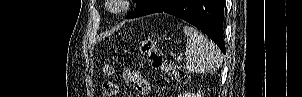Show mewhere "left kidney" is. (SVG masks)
<instances>
[{
	"instance_id": "left-kidney-1",
	"label": "left kidney",
	"mask_w": 302,
	"mask_h": 97,
	"mask_svg": "<svg viewBox=\"0 0 302 97\" xmlns=\"http://www.w3.org/2000/svg\"><path fill=\"white\" fill-rule=\"evenodd\" d=\"M179 97H203L201 93H190V92H185L179 95Z\"/></svg>"
}]
</instances>
